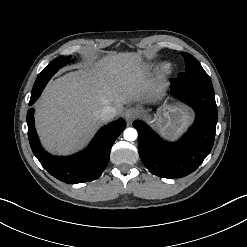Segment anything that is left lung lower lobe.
<instances>
[{
    "label": "left lung lower lobe",
    "instance_id": "0a47b994",
    "mask_svg": "<svg viewBox=\"0 0 247 247\" xmlns=\"http://www.w3.org/2000/svg\"><path fill=\"white\" fill-rule=\"evenodd\" d=\"M171 94L190 105L196 113L193 126L178 142L162 141L142 122L138 130V152L148 170L163 178H181L194 172L210 153L215 138L217 106L212 85L184 84L171 79Z\"/></svg>",
    "mask_w": 247,
    "mask_h": 247
}]
</instances>
